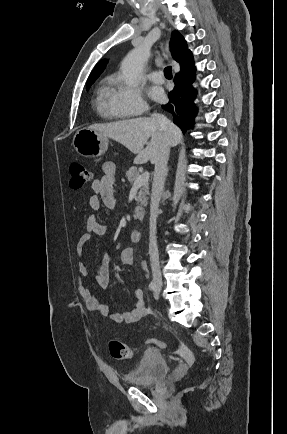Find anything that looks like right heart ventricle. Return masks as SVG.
Returning a JSON list of instances; mask_svg holds the SVG:
<instances>
[{"instance_id":"obj_1","label":"right heart ventricle","mask_w":287,"mask_h":434,"mask_svg":"<svg viewBox=\"0 0 287 434\" xmlns=\"http://www.w3.org/2000/svg\"><path fill=\"white\" fill-rule=\"evenodd\" d=\"M113 84L114 80L111 77H106L102 80L97 89L96 106L98 111L108 118H122L123 116L112 105Z\"/></svg>"}]
</instances>
